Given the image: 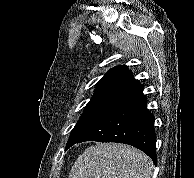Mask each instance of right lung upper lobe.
<instances>
[{
	"mask_svg": "<svg viewBox=\"0 0 194 178\" xmlns=\"http://www.w3.org/2000/svg\"><path fill=\"white\" fill-rule=\"evenodd\" d=\"M144 97L143 85L134 79L125 65L110 69L96 84L91 100L117 101L123 104Z\"/></svg>",
	"mask_w": 194,
	"mask_h": 178,
	"instance_id": "1",
	"label": "right lung upper lobe"
}]
</instances>
